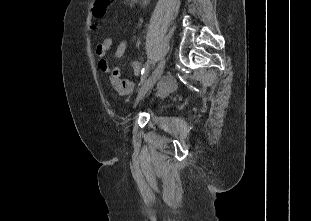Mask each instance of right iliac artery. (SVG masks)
<instances>
[{
	"label": "right iliac artery",
	"mask_w": 311,
	"mask_h": 221,
	"mask_svg": "<svg viewBox=\"0 0 311 221\" xmlns=\"http://www.w3.org/2000/svg\"><path fill=\"white\" fill-rule=\"evenodd\" d=\"M148 73H149V61H147L144 67L142 68L140 84L146 80Z\"/></svg>",
	"instance_id": "obj_1"
}]
</instances>
